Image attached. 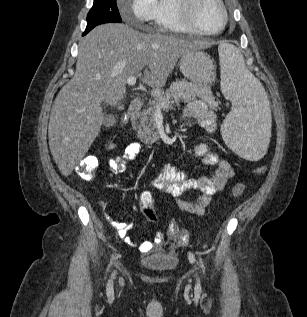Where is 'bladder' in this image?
Masks as SVG:
<instances>
[{
    "mask_svg": "<svg viewBox=\"0 0 307 317\" xmlns=\"http://www.w3.org/2000/svg\"><path fill=\"white\" fill-rule=\"evenodd\" d=\"M140 264L150 271L165 272L173 270L178 263V257L168 256H144L140 258Z\"/></svg>",
    "mask_w": 307,
    "mask_h": 317,
    "instance_id": "bladder-1",
    "label": "bladder"
}]
</instances>
